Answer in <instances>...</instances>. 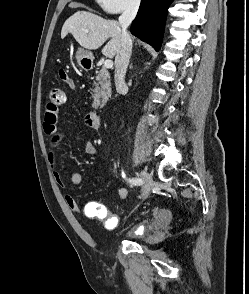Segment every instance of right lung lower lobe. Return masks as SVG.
Masks as SVG:
<instances>
[{
    "label": "right lung lower lobe",
    "mask_w": 249,
    "mask_h": 294,
    "mask_svg": "<svg viewBox=\"0 0 249 294\" xmlns=\"http://www.w3.org/2000/svg\"><path fill=\"white\" fill-rule=\"evenodd\" d=\"M173 0H142L131 25V33L152 45L157 51L162 42L167 9Z\"/></svg>",
    "instance_id": "98d812e1"
}]
</instances>
